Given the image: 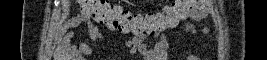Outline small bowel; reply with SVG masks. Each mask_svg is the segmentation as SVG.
<instances>
[{
	"label": "small bowel",
	"instance_id": "c3829d8e",
	"mask_svg": "<svg viewBox=\"0 0 267 60\" xmlns=\"http://www.w3.org/2000/svg\"><path fill=\"white\" fill-rule=\"evenodd\" d=\"M209 6L210 1L189 0L177 29L191 35L207 33L208 29L206 27H199L197 23L207 16ZM80 25L85 26L90 40L99 41L103 39V34L93 20L89 16L78 14L66 20L62 33V46L74 55L88 56L92 52L89 44L86 42H79L76 45L71 43L74 37L73 28ZM169 40H175V37L167 34H156L152 36V45H150L147 35L138 34L135 38L128 41L126 45L130 54L139 55L144 60H166ZM187 59L198 60L199 58L194 54H187Z\"/></svg>",
	"mask_w": 267,
	"mask_h": 60
}]
</instances>
